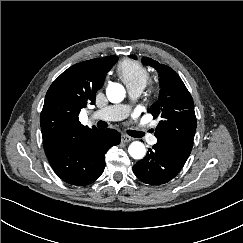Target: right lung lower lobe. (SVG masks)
I'll return each instance as SVG.
<instances>
[{
	"instance_id": "obj_1",
	"label": "right lung lower lobe",
	"mask_w": 243,
	"mask_h": 243,
	"mask_svg": "<svg viewBox=\"0 0 243 243\" xmlns=\"http://www.w3.org/2000/svg\"><path fill=\"white\" fill-rule=\"evenodd\" d=\"M119 142L120 133L116 130L97 129L44 149L62 180L72 185H87L103 173L106 151Z\"/></svg>"
}]
</instances>
